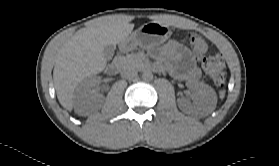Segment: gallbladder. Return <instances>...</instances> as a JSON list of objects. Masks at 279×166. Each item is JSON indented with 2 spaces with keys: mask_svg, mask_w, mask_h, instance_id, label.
Returning <instances> with one entry per match:
<instances>
[{
  "mask_svg": "<svg viewBox=\"0 0 279 166\" xmlns=\"http://www.w3.org/2000/svg\"><path fill=\"white\" fill-rule=\"evenodd\" d=\"M115 51V45L108 44L103 49V56L106 60H111Z\"/></svg>",
  "mask_w": 279,
  "mask_h": 166,
  "instance_id": "obj_1",
  "label": "gallbladder"
}]
</instances>
